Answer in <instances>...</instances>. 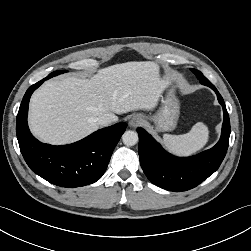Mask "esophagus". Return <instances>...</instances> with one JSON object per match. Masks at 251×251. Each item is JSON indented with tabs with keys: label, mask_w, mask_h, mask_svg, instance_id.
<instances>
[{
	"label": "esophagus",
	"mask_w": 251,
	"mask_h": 251,
	"mask_svg": "<svg viewBox=\"0 0 251 251\" xmlns=\"http://www.w3.org/2000/svg\"><path fill=\"white\" fill-rule=\"evenodd\" d=\"M141 123H142V118L139 115H134L129 121L130 127L133 128L139 126Z\"/></svg>",
	"instance_id": "1"
}]
</instances>
